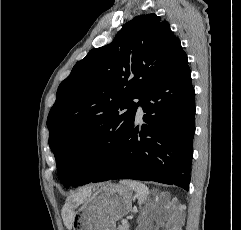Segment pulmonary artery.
Instances as JSON below:
<instances>
[{
    "label": "pulmonary artery",
    "mask_w": 241,
    "mask_h": 230,
    "mask_svg": "<svg viewBox=\"0 0 241 230\" xmlns=\"http://www.w3.org/2000/svg\"><path fill=\"white\" fill-rule=\"evenodd\" d=\"M135 102H138V100H135ZM143 116V110L141 105H138V109H137V119L141 120Z\"/></svg>",
    "instance_id": "pulmonary-artery-1"
}]
</instances>
